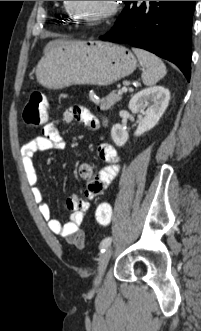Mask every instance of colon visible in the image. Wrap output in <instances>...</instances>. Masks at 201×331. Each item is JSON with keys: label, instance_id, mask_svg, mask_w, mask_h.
Returning <instances> with one entry per match:
<instances>
[{"label": "colon", "instance_id": "1", "mask_svg": "<svg viewBox=\"0 0 201 331\" xmlns=\"http://www.w3.org/2000/svg\"><path fill=\"white\" fill-rule=\"evenodd\" d=\"M23 119L26 125L30 127H39L46 123L48 120V109L45 98L41 93H32L29 100L25 104ZM112 212V207L109 203H99L95 212L97 223L102 226H108L112 220ZM75 246L78 248H83L85 246V240H77Z\"/></svg>", "mask_w": 201, "mask_h": 331}]
</instances>
